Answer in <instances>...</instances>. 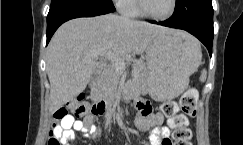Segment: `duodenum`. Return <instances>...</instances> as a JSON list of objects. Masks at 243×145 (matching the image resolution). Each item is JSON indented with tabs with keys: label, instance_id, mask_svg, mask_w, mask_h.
Listing matches in <instances>:
<instances>
[{
	"label": "duodenum",
	"instance_id": "1",
	"mask_svg": "<svg viewBox=\"0 0 243 145\" xmlns=\"http://www.w3.org/2000/svg\"><path fill=\"white\" fill-rule=\"evenodd\" d=\"M106 71L105 66H101L99 68L98 73L101 75ZM132 96V91L128 87H124L120 93H118L115 97L109 98V99H100L98 100L92 107V112L95 115H102L106 111L109 110V108L114 105L118 101H124L130 99Z\"/></svg>",
	"mask_w": 243,
	"mask_h": 145
}]
</instances>
